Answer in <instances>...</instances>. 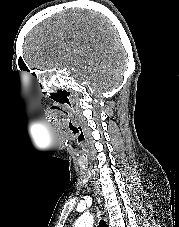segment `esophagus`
Listing matches in <instances>:
<instances>
[{
  "instance_id": "34e87169",
  "label": "esophagus",
  "mask_w": 179,
  "mask_h": 227,
  "mask_svg": "<svg viewBox=\"0 0 179 227\" xmlns=\"http://www.w3.org/2000/svg\"><path fill=\"white\" fill-rule=\"evenodd\" d=\"M94 190H95L97 205L100 209V212H101L104 220L107 222L108 221L107 210H106V207H105V204H104V201L102 198V194L100 191V187H99L97 181H94Z\"/></svg>"
}]
</instances>
